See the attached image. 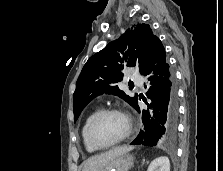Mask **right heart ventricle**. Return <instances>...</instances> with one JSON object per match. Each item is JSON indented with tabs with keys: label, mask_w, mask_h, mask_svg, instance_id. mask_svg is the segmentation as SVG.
Wrapping results in <instances>:
<instances>
[{
	"label": "right heart ventricle",
	"mask_w": 223,
	"mask_h": 171,
	"mask_svg": "<svg viewBox=\"0 0 223 171\" xmlns=\"http://www.w3.org/2000/svg\"><path fill=\"white\" fill-rule=\"evenodd\" d=\"M100 111L99 108H95L94 110H92L87 116L86 118L84 119V122H83V125H82V128H81V136H82V141H83V144H84V147L85 149L89 152V153H94L96 152L98 149L93 147L91 145V143L89 142L88 140V137H87V127H88V124L89 122L91 121V119Z\"/></svg>",
	"instance_id": "e07e8e85"
}]
</instances>
